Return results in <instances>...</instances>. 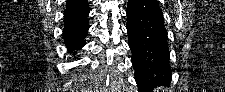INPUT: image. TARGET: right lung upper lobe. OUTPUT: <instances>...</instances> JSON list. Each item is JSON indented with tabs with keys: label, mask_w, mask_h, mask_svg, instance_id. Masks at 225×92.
Masks as SVG:
<instances>
[{
	"label": "right lung upper lobe",
	"mask_w": 225,
	"mask_h": 92,
	"mask_svg": "<svg viewBox=\"0 0 225 92\" xmlns=\"http://www.w3.org/2000/svg\"><path fill=\"white\" fill-rule=\"evenodd\" d=\"M89 12L87 0H68L64 10V21L72 20Z\"/></svg>",
	"instance_id": "cb5924a9"
}]
</instances>
